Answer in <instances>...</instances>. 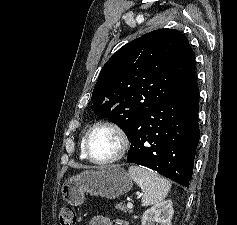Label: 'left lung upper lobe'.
<instances>
[{
	"instance_id": "1",
	"label": "left lung upper lobe",
	"mask_w": 237,
	"mask_h": 225,
	"mask_svg": "<svg viewBox=\"0 0 237 225\" xmlns=\"http://www.w3.org/2000/svg\"><path fill=\"white\" fill-rule=\"evenodd\" d=\"M194 85L188 39L178 30L159 29L127 43L107 61L91 100L97 115L127 133L156 104Z\"/></svg>"
}]
</instances>
